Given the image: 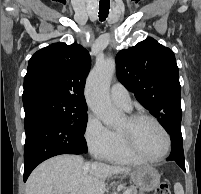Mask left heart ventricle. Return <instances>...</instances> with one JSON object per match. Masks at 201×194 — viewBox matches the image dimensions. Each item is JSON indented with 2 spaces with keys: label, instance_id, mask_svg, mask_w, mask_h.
<instances>
[{
  "label": "left heart ventricle",
  "instance_id": "b2bd125f",
  "mask_svg": "<svg viewBox=\"0 0 201 194\" xmlns=\"http://www.w3.org/2000/svg\"><path fill=\"white\" fill-rule=\"evenodd\" d=\"M126 127L127 120L125 119L120 129ZM134 140L138 150L149 157H157L166 149V138L164 134L149 120H142L135 126Z\"/></svg>",
  "mask_w": 201,
  "mask_h": 194
}]
</instances>
